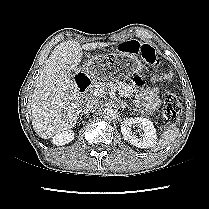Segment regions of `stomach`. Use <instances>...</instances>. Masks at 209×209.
Instances as JSON below:
<instances>
[{
    "label": "stomach",
    "mask_w": 209,
    "mask_h": 209,
    "mask_svg": "<svg viewBox=\"0 0 209 209\" xmlns=\"http://www.w3.org/2000/svg\"><path fill=\"white\" fill-rule=\"evenodd\" d=\"M136 69L142 70L143 64L135 54L125 52L96 56L88 67L92 80L98 84H107L112 80L124 81Z\"/></svg>",
    "instance_id": "1"
}]
</instances>
